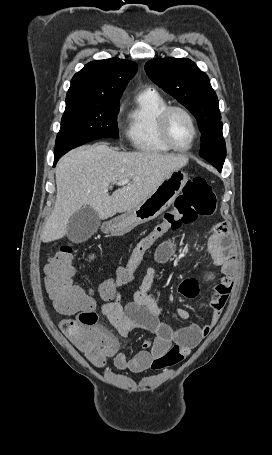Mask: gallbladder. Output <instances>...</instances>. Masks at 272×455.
<instances>
[{"instance_id":"obj_1","label":"gallbladder","mask_w":272,"mask_h":455,"mask_svg":"<svg viewBox=\"0 0 272 455\" xmlns=\"http://www.w3.org/2000/svg\"><path fill=\"white\" fill-rule=\"evenodd\" d=\"M100 223L97 212L89 206H83L70 218L67 237L75 243L86 241L98 230Z\"/></svg>"}]
</instances>
